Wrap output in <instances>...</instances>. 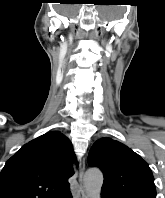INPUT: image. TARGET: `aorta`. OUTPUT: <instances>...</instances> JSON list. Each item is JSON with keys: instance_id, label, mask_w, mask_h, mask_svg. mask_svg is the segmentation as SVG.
Here are the masks:
<instances>
[{"instance_id": "obj_1", "label": "aorta", "mask_w": 165, "mask_h": 198, "mask_svg": "<svg viewBox=\"0 0 165 198\" xmlns=\"http://www.w3.org/2000/svg\"><path fill=\"white\" fill-rule=\"evenodd\" d=\"M103 185V174L97 168L87 170L84 175V188L86 198H101V188Z\"/></svg>"}]
</instances>
